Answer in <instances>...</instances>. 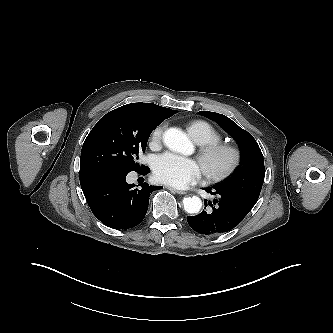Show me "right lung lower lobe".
Instances as JSON below:
<instances>
[{
    "label": "right lung lower lobe",
    "instance_id": "1",
    "mask_svg": "<svg viewBox=\"0 0 333 333\" xmlns=\"http://www.w3.org/2000/svg\"><path fill=\"white\" fill-rule=\"evenodd\" d=\"M146 166L140 173L147 174ZM128 173L98 170L80 174V184L92 213L103 224L114 229L138 225L148 210L150 193L161 186L142 183L141 188L127 184Z\"/></svg>",
    "mask_w": 333,
    "mask_h": 333
}]
</instances>
